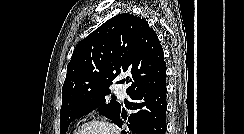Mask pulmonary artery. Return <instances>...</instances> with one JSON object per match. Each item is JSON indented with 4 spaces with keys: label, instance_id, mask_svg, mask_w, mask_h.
<instances>
[{
    "label": "pulmonary artery",
    "instance_id": "obj_1",
    "mask_svg": "<svg viewBox=\"0 0 244 134\" xmlns=\"http://www.w3.org/2000/svg\"><path fill=\"white\" fill-rule=\"evenodd\" d=\"M115 91L121 98H124L126 96V88L122 84H117L115 86Z\"/></svg>",
    "mask_w": 244,
    "mask_h": 134
}]
</instances>
